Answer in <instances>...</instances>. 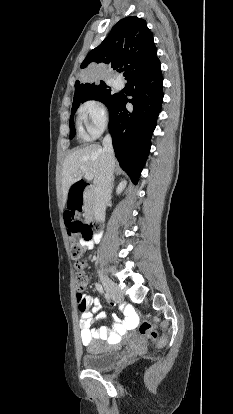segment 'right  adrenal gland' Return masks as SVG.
I'll return each mask as SVG.
<instances>
[{"label":"right adrenal gland","mask_w":233,"mask_h":414,"mask_svg":"<svg viewBox=\"0 0 233 414\" xmlns=\"http://www.w3.org/2000/svg\"><path fill=\"white\" fill-rule=\"evenodd\" d=\"M114 188V177L112 178V182H111V190H113Z\"/></svg>","instance_id":"obj_1"}]
</instances>
